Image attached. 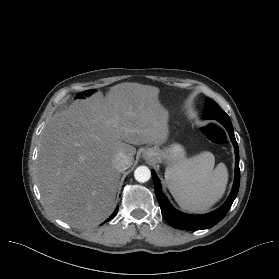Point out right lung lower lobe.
I'll use <instances>...</instances> for the list:
<instances>
[{"label":"right lung lower lobe","mask_w":279,"mask_h":279,"mask_svg":"<svg viewBox=\"0 0 279 279\" xmlns=\"http://www.w3.org/2000/svg\"><path fill=\"white\" fill-rule=\"evenodd\" d=\"M117 209H118V207L116 208L115 212H114V213L108 218V220H106L105 222L111 220V219L116 215ZM105 222H104V223H105Z\"/></svg>","instance_id":"1"}]
</instances>
